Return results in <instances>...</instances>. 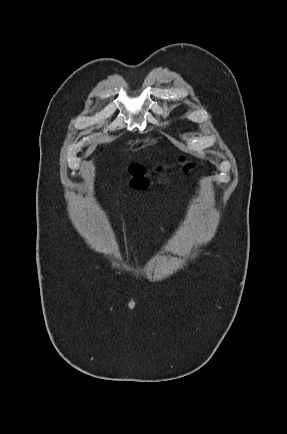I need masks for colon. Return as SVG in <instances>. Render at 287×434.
I'll use <instances>...</instances> for the list:
<instances>
[{"label": "colon", "instance_id": "5ec220e1", "mask_svg": "<svg viewBox=\"0 0 287 434\" xmlns=\"http://www.w3.org/2000/svg\"><path fill=\"white\" fill-rule=\"evenodd\" d=\"M183 171L187 172L194 167V163L189 162L186 157L180 158ZM163 165H157L155 170L158 172L163 171ZM129 172L132 176L130 185L137 190H144L151 184L147 169L141 164H132L129 167Z\"/></svg>", "mask_w": 287, "mask_h": 434}]
</instances>
